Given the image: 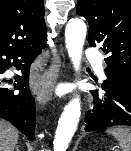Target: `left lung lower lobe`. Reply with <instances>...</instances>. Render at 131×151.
<instances>
[{
	"label": "left lung lower lobe",
	"mask_w": 131,
	"mask_h": 151,
	"mask_svg": "<svg viewBox=\"0 0 131 151\" xmlns=\"http://www.w3.org/2000/svg\"><path fill=\"white\" fill-rule=\"evenodd\" d=\"M101 87L104 93L92 90L93 108L86 113L84 131L110 126H131V80L120 78L105 69Z\"/></svg>",
	"instance_id": "1"
}]
</instances>
